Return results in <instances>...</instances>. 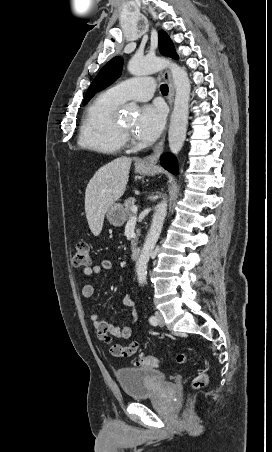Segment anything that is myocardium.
Masks as SVG:
<instances>
[{
    "instance_id": "myocardium-1",
    "label": "myocardium",
    "mask_w": 272,
    "mask_h": 452,
    "mask_svg": "<svg viewBox=\"0 0 272 452\" xmlns=\"http://www.w3.org/2000/svg\"><path fill=\"white\" fill-rule=\"evenodd\" d=\"M116 127H117V131L119 133V135L121 136V138L124 140V143H131L132 142V138H131V133L130 130L125 128L121 123L117 122L116 123Z\"/></svg>"
}]
</instances>
